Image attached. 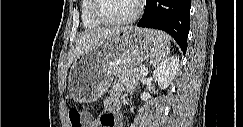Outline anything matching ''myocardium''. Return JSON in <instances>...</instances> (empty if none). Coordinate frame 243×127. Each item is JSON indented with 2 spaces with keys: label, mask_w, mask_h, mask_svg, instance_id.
Masks as SVG:
<instances>
[{
  "label": "myocardium",
  "mask_w": 243,
  "mask_h": 127,
  "mask_svg": "<svg viewBox=\"0 0 243 127\" xmlns=\"http://www.w3.org/2000/svg\"><path fill=\"white\" fill-rule=\"evenodd\" d=\"M135 1H136V7L134 12L130 16L122 19L111 20V19L104 18L99 13V0H92L93 3L92 16L97 22L106 26H119V25L129 24L131 22H134L140 16L143 9V1L142 0H135Z\"/></svg>",
  "instance_id": "myocardium-1"
}]
</instances>
